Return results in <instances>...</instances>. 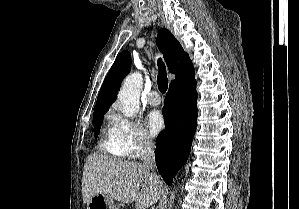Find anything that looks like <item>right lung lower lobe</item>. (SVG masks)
<instances>
[{
    "instance_id": "1",
    "label": "right lung lower lobe",
    "mask_w": 299,
    "mask_h": 209,
    "mask_svg": "<svg viewBox=\"0 0 299 209\" xmlns=\"http://www.w3.org/2000/svg\"><path fill=\"white\" fill-rule=\"evenodd\" d=\"M165 130L157 139L155 158L164 181L171 185L188 159L197 124L195 78L169 87L163 108Z\"/></svg>"
}]
</instances>
